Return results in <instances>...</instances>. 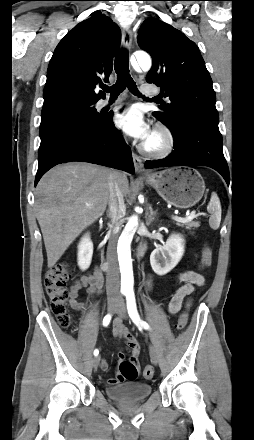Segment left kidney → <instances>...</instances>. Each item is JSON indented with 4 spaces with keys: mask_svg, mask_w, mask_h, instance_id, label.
Here are the masks:
<instances>
[{
    "mask_svg": "<svg viewBox=\"0 0 254 440\" xmlns=\"http://www.w3.org/2000/svg\"><path fill=\"white\" fill-rule=\"evenodd\" d=\"M183 254L184 239L178 234H172L165 245L151 253V267L157 275H165L179 263Z\"/></svg>",
    "mask_w": 254,
    "mask_h": 440,
    "instance_id": "obj_1",
    "label": "left kidney"
}]
</instances>
